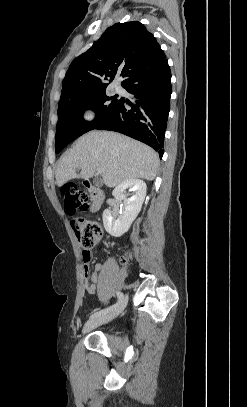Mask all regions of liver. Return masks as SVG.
Here are the masks:
<instances>
[{
    "label": "liver",
    "instance_id": "liver-1",
    "mask_svg": "<svg viewBox=\"0 0 247 407\" xmlns=\"http://www.w3.org/2000/svg\"><path fill=\"white\" fill-rule=\"evenodd\" d=\"M158 166V154L151 147L119 133L91 131L60 159L55 175L60 187L74 178L90 179L101 169L105 185L115 187L127 179L152 181Z\"/></svg>",
    "mask_w": 247,
    "mask_h": 407
}]
</instances>
